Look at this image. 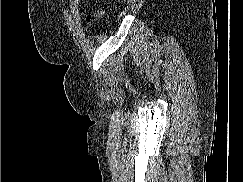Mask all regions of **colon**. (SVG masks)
<instances>
[{
	"instance_id": "1",
	"label": "colon",
	"mask_w": 243,
	"mask_h": 182,
	"mask_svg": "<svg viewBox=\"0 0 243 182\" xmlns=\"http://www.w3.org/2000/svg\"><path fill=\"white\" fill-rule=\"evenodd\" d=\"M101 15V13H94V14H91L88 16L87 20L88 21H94L96 20L97 18H99Z\"/></svg>"
}]
</instances>
